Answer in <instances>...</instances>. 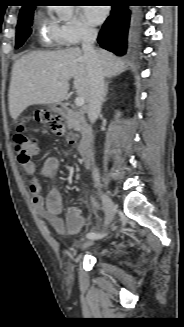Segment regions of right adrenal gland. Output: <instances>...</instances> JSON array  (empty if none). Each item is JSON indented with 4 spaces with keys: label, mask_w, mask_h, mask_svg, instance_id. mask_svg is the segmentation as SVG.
Wrapping results in <instances>:
<instances>
[{
    "label": "right adrenal gland",
    "mask_w": 184,
    "mask_h": 327,
    "mask_svg": "<svg viewBox=\"0 0 184 327\" xmlns=\"http://www.w3.org/2000/svg\"><path fill=\"white\" fill-rule=\"evenodd\" d=\"M107 92H108V82L105 84V91H104V96H103V103L106 101Z\"/></svg>",
    "instance_id": "obj_1"
}]
</instances>
